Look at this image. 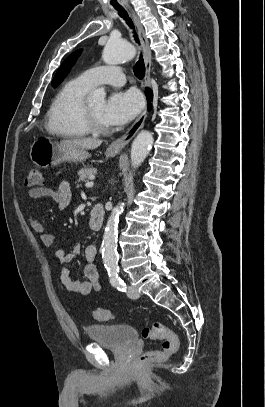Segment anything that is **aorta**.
Here are the masks:
<instances>
[{
	"label": "aorta",
	"mask_w": 265,
	"mask_h": 407,
	"mask_svg": "<svg viewBox=\"0 0 265 407\" xmlns=\"http://www.w3.org/2000/svg\"><path fill=\"white\" fill-rule=\"evenodd\" d=\"M135 47L120 39L111 38L104 47L102 58L106 64H118L134 58ZM105 92L95 90L91 93L89 101H103ZM153 144V135L149 131L140 132L134 139L131 146V163L133 168H137L145 160ZM124 203L116 206L108 218L102 241V259L110 275L118 272L117 257V226L119 214L123 211Z\"/></svg>",
	"instance_id": "aorta-1"
}]
</instances>
